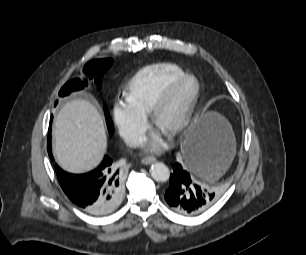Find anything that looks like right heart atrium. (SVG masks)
<instances>
[{
    "label": "right heart atrium",
    "mask_w": 306,
    "mask_h": 255,
    "mask_svg": "<svg viewBox=\"0 0 306 255\" xmlns=\"http://www.w3.org/2000/svg\"><path fill=\"white\" fill-rule=\"evenodd\" d=\"M114 124L130 146H138L144 140L147 121L144 115L137 112L127 101L117 100L113 104Z\"/></svg>",
    "instance_id": "1"
}]
</instances>
